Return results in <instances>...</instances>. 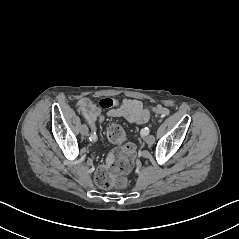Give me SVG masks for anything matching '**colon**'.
Instances as JSON below:
<instances>
[{"mask_svg": "<svg viewBox=\"0 0 239 239\" xmlns=\"http://www.w3.org/2000/svg\"><path fill=\"white\" fill-rule=\"evenodd\" d=\"M112 106V99L106 98L99 102V107L102 109ZM151 111L162 117H166L170 113L163 106H153ZM106 133L110 142L121 146L112 152L104 165L97 169L95 180L101 187L123 189L129 183L128 174L134 163L135 149L131 144L125 143L126 134L119 124L111 123Z\"/></svg>", "mask_w": 239, "mask_h": 239, "instance_id": "obj_1", "label": "colon"}]
</instances>
